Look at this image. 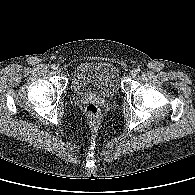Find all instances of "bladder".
Masks as SVG:
<instances>
[{
  "label": "bladder",
  "mask_w": 195,
  "mask_h": 195,
  "mask_svg": "<svg viewBox=\"0 0 195 195\" xmlns=\"http://www.w3.org/2000/svg\"><path fill=\"white\" fill-rule=\"evenodd\" d=\"M71 90L77 96L97 95L114 97L119 90L117 68L106 61H86L75 70L71 79Z\"/></svg>",
  "instance_id": "1"
}]
</instances>
